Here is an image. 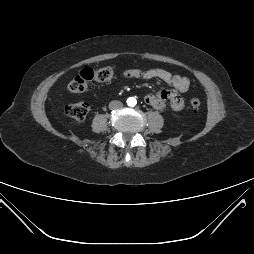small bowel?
I'll list each match as a JSON object with an SVG mask.
<instances>
[{
	"mask_svg": "<svg viewBox=\"0 0 254 254\" xmlns=\"http://www.w3.org/2000/svg\"><path fill=\"white\" fill-rule=\"evenodd\" d=\"M122 76L127 78L137 79H158L170 86V90H162L154 94H147L144 97L145 102L156 110L165 109L167 102L169 101L170 107L174 112L181 111L185 106V100L181 96V93L186 92L189 89V79L172 74L164 69H129L122 73Z\"/></svg>",
	"mask_w": 254,
	"mask_h": 254,
	"instance_id": "1",
	"label": "small bowel"
}]
</instances>
